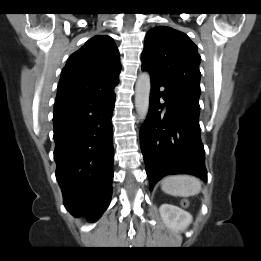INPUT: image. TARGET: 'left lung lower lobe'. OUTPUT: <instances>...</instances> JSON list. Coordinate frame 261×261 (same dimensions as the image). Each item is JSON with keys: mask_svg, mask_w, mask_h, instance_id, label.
<instances>
[{"mask_svg": "<svg viewBox=\"0 0 261 261\" xmlns=\"http://www.w3.org/2000/svg\"><path fill=\"white\" fill-rule=\"evenodd\" d=\"M199 96L151 75L149 112L140 130L150 190L169 174L186 173L207 180Z\"/></svg>", "mask_w": 261, "mask_h": 261, "instance_id": "obj_1", "label": "left lung lower lobe"}]
</instances>
